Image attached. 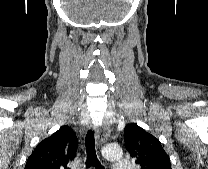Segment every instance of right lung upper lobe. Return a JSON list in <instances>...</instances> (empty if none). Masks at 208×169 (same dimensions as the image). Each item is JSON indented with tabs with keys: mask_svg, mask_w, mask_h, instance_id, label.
<instances>
[{
	"mask_svg": "<svg viewBox=\"0 0 208 169\" xmlns=\"http://www.w3.org/2000/svg\"><path fill=\"white\" fill-rule=\"evenodd\" d=\"M77 137L69 126H62L50 137L42 140L29 156L25 169H70L76 156Z\"/></svg>",
	"mask_w": 208,
	"mask_h": 169,
	"instance_id": "right-lung-upper-lobe-1",
	"label": "right lung upper lobe"
}]
</instances>
